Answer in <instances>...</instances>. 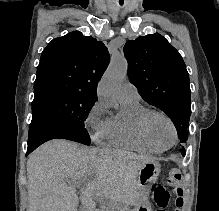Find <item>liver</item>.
<instances>
[{
  "instance_id": "6515ba94",
  "label": "liver",
  "mask_w": 219,
  "mask_h": 211,
  "mask_svg": "<svg viewBox=\"0 0 219 211\" xmlns=\"http://www.w3.org/2000/svg\"><path fill=\"white\" fill-rule=\"evenodd\" d=\"M150 159L123 149H80L68 139L46 141L28 157L27 211H99L94 197L137 205L138 169ZM87 173L94 179L77 195L75 181Z\"/></svg>"
}]
</instances>
